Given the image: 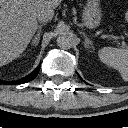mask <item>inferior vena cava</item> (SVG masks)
<instances>
[{
	"label": "inferior vena cava",
	"mask_w": 128,
	"mask_h": 128,
	"mask_svg": "<svg viewBox=\"0 0 128 128\" xmlns=\"http://www.w3.org/2000/svg\"><path fill=\"white\" fill-rule=\"evenodd\" d=\"M52 19V15L48 12H41L37 15V20L40 23H46Z\"/></svg>",
	"instance_id": "1"
}]
</instances>
